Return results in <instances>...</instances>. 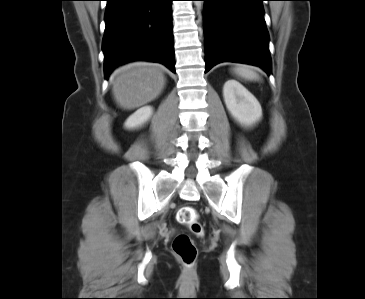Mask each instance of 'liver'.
I'll list each match as a JSON object with an SVG mask.
<instances>
[{
  "mask_svg": "<svg viewBox=\"0 0 365 299\" xmlns=\"http://www.w3.org/2000/svg\"><path fill=\"white\" fill-rule=\"evenodd\" d=\"M163 66L136 62L117 69L111 77L112 93L123 109L132 110L156 99L164 89Z\"/></svg>",
  "mask_w": 365,
  "mask_h": 299,
  "instance_id": "6515ba94",
  "label": "liver"
}]
</instances>
